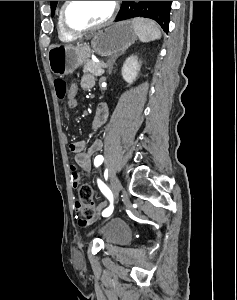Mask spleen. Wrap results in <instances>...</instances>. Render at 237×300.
<instances>
[{
    "instance_id": "spleen-1",
    "label": "spleen",
    "mask_w": 237,
    "mask_h": 300,
    "mask_svg": "<svg viewBox=\"0 0 237 300\" xmlns=\"http://www.w3.org/2000/svg\"><path fill=\"white\" fill-rule=\"evenodd\" d=\"M131 23L141 43H150V41L161 39V31L152 19H140V17H137V19H132Z\"/></svg>"
}]
</instances>
